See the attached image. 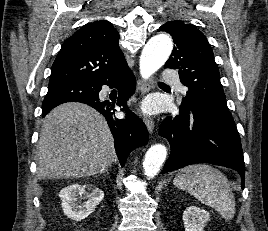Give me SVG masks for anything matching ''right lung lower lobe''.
<instances>
[{"label": "right lung lower lobe", "instance_id": "obj_1", "mask_svg": "<svg viewBox=\"0 0 268 231\" xmlns=\"http://www.w3.org/2000/svg\"><path fill=\"white\" fill-rule=\"evenodd\" d=\"M102 85H108L111 88H119L117 102L116 99L112 101L99 100V92L102 88ZM93 88L95 92L93 97L72 101L88 104L106 118L115 140V150L118 159L121 166H124L129 153L135 148L145 145L148 141V131L144 123L132 113V111L127 107L126 103L128 98L135 91V77L126 64L122 69L109 77L105 82L94 86ZM115 105L122 107L124 111L128 112L125 120L115 117L114 114L117 111L115 109ZM52 108L48 110H42V117H44Z\"/></svg>", "mask_w": 268, "mask_h": 231}]
</instances>
